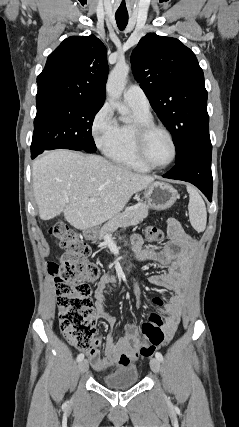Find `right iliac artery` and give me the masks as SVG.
<instances>
[{
    "instance_id": "right-iliac-artery-1",
    "label": "right iliac artery",
    "mask_w": 239,
    "mask_h": 427,
    "mask_svg": "<svg viewBox=\"0 0 239 427\" xmlns=\"http://www.w3.org/2000/svg\"><path fill=\"white\" fill-rule=\"evenodd\" d=\"M84 359V355L81 353L77 356V361L80 362Z\"/></svg>"
}]
</instances>
